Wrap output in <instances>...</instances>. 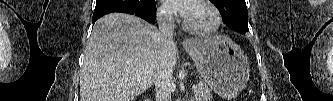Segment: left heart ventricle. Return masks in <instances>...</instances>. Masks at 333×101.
<instances>
[{"label":"left heart ventricle","instance_id":"b2bd125f","mask_svg":"<svg viewBox=\"0 0 333 101\" xmlns=\"http://www.w3.org/2000/svg\"><path fill=\"white\" fill-rule=\"evenodd\" d=\"M185 19L191 26L198 29L209 28L214 23V16L210 9L195 2L191 3Z\"/></svg>","mask_w":333,"mask_h":101}]
</instances>
